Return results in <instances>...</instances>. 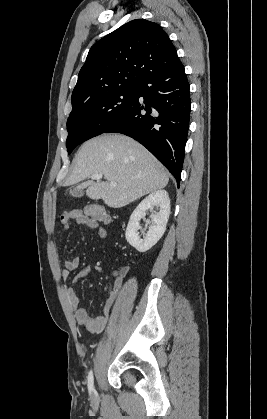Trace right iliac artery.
Here are the masks:
<instances>
[{
  "label": "right iliac artery",
  "instance_id": "obj_1",
  "mask_svg": "<svg viewBox=\"0 0 267 419\" xmlns=\"http://www.w3.org/2000/svg\"><path fill=\"white\" fill-rule=\"evenodd\" d=\"M88 389L89 392H92L94 389V378H93V371L90 370L89 374H88Z\"/></svg>",
  "mask_w": 267,
  "mask_h": 419
}]
</instances>
